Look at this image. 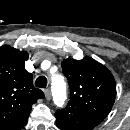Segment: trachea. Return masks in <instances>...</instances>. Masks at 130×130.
<instances>
[{"label": "trachea", "mask_w": 130, "mask_h": 130, "mask_svg": "<svg viewBox=\"0 0 130 130\" xmlns=\"http://www.w3.org/2000/svg\"><path fill=\"white\" fill-rule=\"evenodd\" d=\"M35 86L38 88H45L47 86V78L45 76H40L35 81Z\"/></svg>", "instance_id": "1"}]
</instances>
